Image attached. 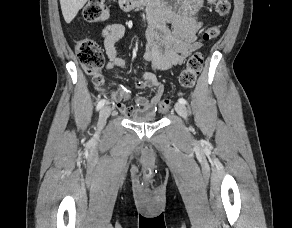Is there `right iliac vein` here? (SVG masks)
I'll use <instances>...</instances> for the list:
<instances>
[{
  "label": "right iliac vein",
  "mask_w": 292,
  "mask_h": 228,
  "mask_svg": "<svg viewBox=\"0 0 292 228\" xmlns=\"http://www.w3.org/2000/svg\"><path fill=\"white\" fill-rule=\"evenodd\" d=\"M111 113L110 106H104L99 112L98 130L101 131L106 124V120Z\"/></svg>",
  "instance_id": "right-iliac-vein-1"
}]
</instances>
